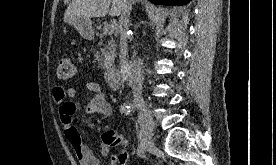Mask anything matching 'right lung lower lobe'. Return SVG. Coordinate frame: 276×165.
<instances>
[{"mask_svg": "<svg viewBox=\"0 0 276 165\" xmlns=\"http://www.w3.org/2000/svg\"><path fill=\"white\" fill-rule=\"evenodd\" d=\"M155 4H163V5H186L191 0H149Z\"/></svg>", "mask_w": 276, "mask_h": 165, "instance_id": "right-lung-lower-lobe-1", "label": "right lung lower lobe"}]
</instances>
